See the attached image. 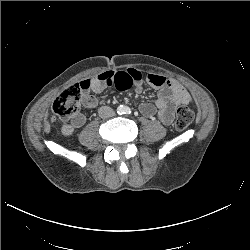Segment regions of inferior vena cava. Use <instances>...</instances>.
I'll return each mask as SVG.
<instances>
[{"label":"inferior vena cava","mask_w":250,"mask_h":250,"mask_svg":"<svg viewBox=\"0 0 250 250\" xmlns=\"http://www.w3.org/2000/svg\"><path fill=\"white\" fill-rule=\"evenodd\" d=\"M98 113L101 118H109L115 114L114 110L108 106L100 107Z\"/></svg>","instance_id":"602c4592"}]
</instances>
